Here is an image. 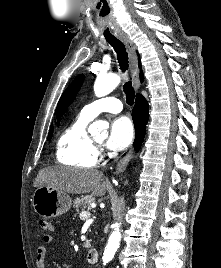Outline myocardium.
<instances>
[{"mask_svg":"<svg viewBox=\"0 0 221 268\" xmlns=\"http://www.w3.org/2000/svg\"><path fill=\"white\" fill-rule=\"evenodd\" d=\"M93 143H94V145H95V147L98 149L99 147H100V142H98V141H96V140H94L93 139Z\"/></svg>","mask_w":221,"mask_h":268,"instance_id":"f54148a6","label":"myocardium"}]
</instances>
